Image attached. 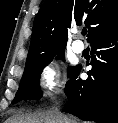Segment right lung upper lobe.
I'll list each match as a JSON object with an SVG mask.
<instances>
[{
  "instance_id": "obj_1",
  "label": "right lung upper lobe",
  "mask_w": 118,
  "mask_h": 123,
  "mask_svg": "<svg viewBox=\"0 0 118 123\" xmlns=\"http://www.w3.org/2000/svg\"><path fill=\"white\" fill-rule=\"evenodd\" d=\"M85 25L87 41L118 31V0H46L37 13L25 68L65 49L68 29Z\"/></svg>"
}]
</instances>
